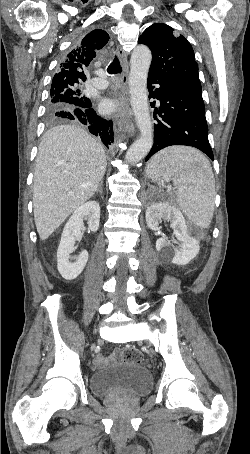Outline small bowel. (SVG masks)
<instances>
[{"instance_id": "obj_1", "label": "small bowel", "mask_w": 250, "mask_h": 454, "mask_svg": "<svg viewBox=\"0 0 250 454\" xmlns=\"http://www.w3.org/2000/svg\"><path fill=\"white\" fill-rule=\"evenodd\" d=\"M107 361V358L102 355H98L95 359V363L98 365L104 364Z\"/></svg>"}]
</instances>
